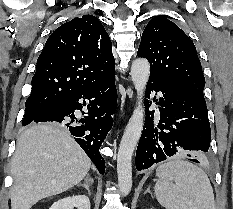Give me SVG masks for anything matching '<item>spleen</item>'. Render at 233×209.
<instances>
[{
    "instance_id": "3e777b00",
    "label": "spleen",
    "mask_w": 233,
    "mask_h": 209,
    "mask_svg": "<svg viewBox=\"0 0 233 209\" xmlns=\"http://www.w3.org/2000/svg\"><path fill=\"white\" fill-rule=\"evenodd\" d=\"M156 198L166 209H215L207 174L191 162L172 159L156 170Z\"/></svg>"
}]
</instances>
